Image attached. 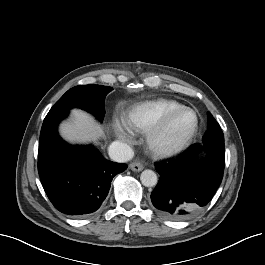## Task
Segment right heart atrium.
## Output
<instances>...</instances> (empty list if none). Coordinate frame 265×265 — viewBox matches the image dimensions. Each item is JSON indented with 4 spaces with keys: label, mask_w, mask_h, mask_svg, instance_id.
I'll return each instance as SVG.
<instances>
[{
    "label": "right heart atrium",
    "mask_w": 265,
    "mask_h": 265,
    "mask_svg": "<svg viewBox=\"0 0 265 265\" xmlns=\"http://www.w3.org/2000/svg\"><path fill=\"white\" fill-rule=\"evenodd\" d=\"M114 130H115V134L117 138L122 139V140H126L128 138L125 131L118 124L114 125Z\"/></svg>",
    "instance_id": "1"
}]
</instances>
